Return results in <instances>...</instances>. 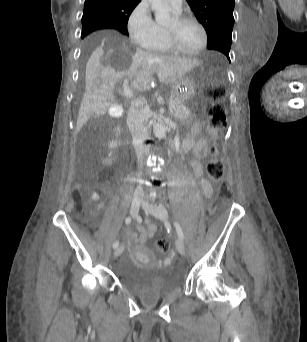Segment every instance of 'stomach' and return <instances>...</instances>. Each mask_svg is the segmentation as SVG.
Here are the masks:
<instances>
[{"label": "stomach", "mask_w": 307, "mask_h": 342, "mask_svg": "<svg viewBox=\"0 0 307 342\" xmlns=\"http://www.w3.org/2000/svg\"><path fill=\"white\" fill-rule=\"evenodd\" d=\"M201 70L197 67L191 69L173 84V94L182 101H191L196 94L197 80Z\"/></svg>", "instance_id": "0dacf381"}]
</instances>
